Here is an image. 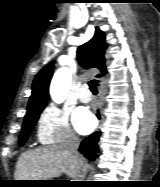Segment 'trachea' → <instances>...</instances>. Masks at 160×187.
<instances>
[{"label": "trachea", "mask_w": 160, "mask_h": 187, "mask_svg": "<svg viewBox=\"0 0 160 187\" xmlns=\"http://www.w3.org/2000/svg\"><path fill=\"white\" fill-rule=\"evenodd\" d=\"M89 88H90L91 92L97 93V81L96 80H91L89 82Z\"/></svg>", "instance_id": "obj_1"}]
</instances>
